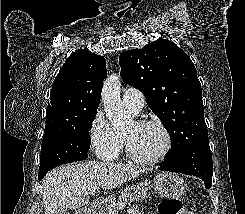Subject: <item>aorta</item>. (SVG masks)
Returning <instances> with one entry per match:
<instances>
[{"instance_id":"762f6f07","label":"aorta","mask_w":245,"mask_h":214,"mask_svg":"<svg viewBox=\"0 0 245 214\" xmlns=\"http://www.w3.org/2000/svg\"><path fill=\"white\" fill-rule=\"evenodd\" d=\"M120 91V77L116 74L107 77L103 83L101 100L105 115L115 128H122L131 120L122 104Z\"/></svg>"}]
</instances>
